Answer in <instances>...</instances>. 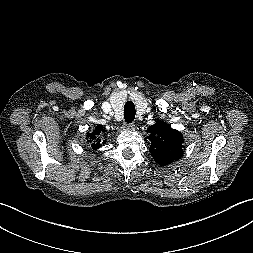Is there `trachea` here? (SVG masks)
I'll use <instances>...</instances> for the list:
<instances>
[{"label":"trachea","mask_w":253,"mask_h":253,"mask_svg":"<svg viewBox=\"0 0 253 253\" xmlns=\"http://www.w3.org/2000/svg\"><path fill=\"white\" fill-rule=\"evenodd\" d=\"M135 105L131 101H127L124 106V118L125 122L131 123L135 119Z\"/></svg>","instance_id":"trachea-1"}]
</instances>
